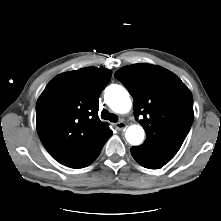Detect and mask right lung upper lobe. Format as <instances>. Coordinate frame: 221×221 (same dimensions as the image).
Masks as SVG:
<instances>
[{
    "label": "right lung upper lobe",
    "mask_w": 221,
    "mask_h": 221,
    "mask_svg": "<svg viewBox=\"0 0 221 221\" xmlns=\"http://www.w3.org/2000/svg\"><path fill=\"white\" fill-rule=\"evenodd\" d=\"M106 68L86 67L52 79L36 105L37 132L50 155L65 165L110 128L98 117L99 95L111 79Z\"/></svg>",
    "instance_id": "right-lung-upper-lobe-1"
}]
</instances>
